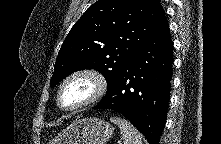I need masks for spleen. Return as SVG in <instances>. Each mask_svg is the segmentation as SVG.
I'll list each match as a JSON object with an SVG mask.
<instances>
[{
    "label": "spleen",
    "instance_id": "1",
    "mask_svg": "<svg viewBox=\"0 0 221 144\" xmlns=\"http://www.w3.org/2000/svg\"><path fill=\"white\" fill-rule=\"evenodd\" d=\"M111 122L120 128L124 144H142V136L129 121L121 117H112Z\"/></svg>",
    "mask_w": 221,
    "mask_h": 144
}]
</instances>
